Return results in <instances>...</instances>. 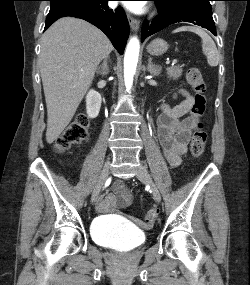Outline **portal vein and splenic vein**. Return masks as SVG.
Returning <instances> with one entry per match:
<instances>
[{"mask_svg":"<svg viewBox=\"0 0 250 285\" xmlns=\"http://www.w3.org/2000/svg\"><path fill=\"white\" fill-rule=\"evenodd\" d=\"M176 61H173L172 64H174ZM167 64H169V62H166Z\"/></svg>","mask_w":250,"mask_h":285,"instance_id":"1","label":"portal vein and splenic vein"}]
</instances>
